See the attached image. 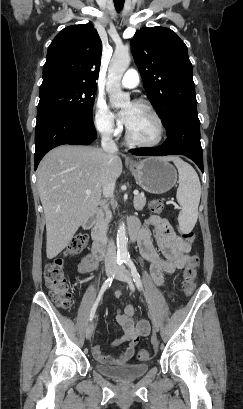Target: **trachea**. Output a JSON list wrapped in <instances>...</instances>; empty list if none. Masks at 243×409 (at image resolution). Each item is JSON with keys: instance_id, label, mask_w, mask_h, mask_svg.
<instances>
[{"instance_id": "1", "label": "trachea", "mask_w": 243, "mask_h": 409, "mask_svg": "<svg viewBox=\"0 0 243 409\" xmlns=\"http://www.w3.org/2000/svg\"><path fill=\"white\" fill-rule=\"evenodd\" d=\"M115 8L117 12H120L123 9L124 1L116 2L114 1Z\"/></svg>"}]
</instances>
